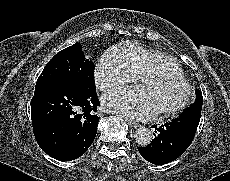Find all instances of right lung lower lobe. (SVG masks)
<instances>
[{"mask_svg": "<svg viewBox=\"0 0 230 181\" xmlns=\"http://www.w3.org/2000/svg\"><path fill=\"white\" fill-rule=\"evenodd\" d=\"M96 90L71 84L41 85L31 100L33 132L49 156L70 161L83 155L93 143L99 117Z\"/></svg>", "mask_w": 230, "mask_h": 181, "instance_id": "right-lung-lower-lobe-1", "label": "right lung lower lobe"}]
</instances>
